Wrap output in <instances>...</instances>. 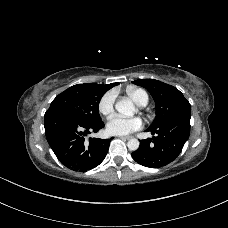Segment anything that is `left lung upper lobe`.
<instances>
[{"label":"left lung upper lobe","instance_id":"obj_1","mask_svg":"<svg viewBox=\"0 0 228 228\" xmlns=\"http://www.w3.org/2000/svg\"><path fill=\"white\" fill-rule=\"evenodd\" d=\"M133 83L146 88L155 101L156 117L149 129L158 128L180 116L191 114L189 101L176 87L155 79L135 80ZM175 126H181V124L177 121ZM178 129L180 128L178 127L176 132Z\"/></svg>","mask_w":228,"mask_h":228}]
</instances>
